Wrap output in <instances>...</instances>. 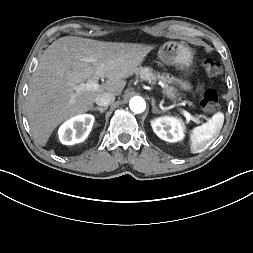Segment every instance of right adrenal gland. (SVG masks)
Here are the masks:
<instances>
[{
  "instance_id": "2a0ac1e0",
  "label": "right adrenal gland",
  "mask_w": 253,
  "mask_h": 253,
  "mask_svg": "<svg viewBox=\"0 0 253 253\" xmlns=\"http://www.w3.org/2000/svg\"><path fill=\"white\" fill-rule=\"evenodd\" d=\"M107 109H108V107H92L90 110H92V111H99L100 113H103Z\"/></svg>"
}]
</instances>
